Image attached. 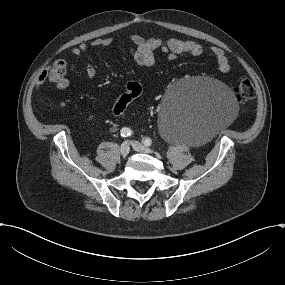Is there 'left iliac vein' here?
<instances>
[{
  "instance_id": "obj_1",
  "label": "left iliac vein",
  "mask_w": 285,
  "mask_h": 285,
  "mask_svg": "<svg viewBox=\"0 0 285 285\" xmlns=\"http://www.w3.org/2000/svg\"><path fill=\"white\" fill-rule=\"evenodd\" d=\"M130 144L138 152L147 153V154H150L153 152L150 148L145 147L144 145L140 144L137 141H131Z\"/></svg>"
}]
</instances>
